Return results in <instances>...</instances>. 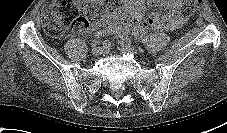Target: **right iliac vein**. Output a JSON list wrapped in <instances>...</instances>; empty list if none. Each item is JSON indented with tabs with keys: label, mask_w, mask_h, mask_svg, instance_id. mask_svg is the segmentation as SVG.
<instances>
[{
	"label": "right iliac vein",
	"mask_w": 227,
	"mask_h": 133,
	"mask_svg": "<svg viewBox=\"0 0 227 133\" xmlns=\"http://www.w3.org/2000/svg\"><path fill=\"white\" fill-rule=\"evenodd\" d=\"M104 49H105L104 47L103 48L102 47H94L92 49V53L97 56V55L102 54Z\"/></svg>",
	"instance_id": "1"
}]
</instances>
